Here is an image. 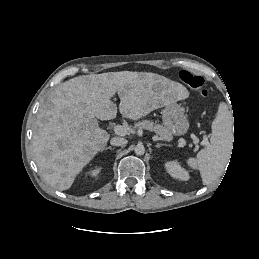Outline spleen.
<instances>
[{"instance_id":"obj_1","label":"spleen","mask_w":259,"mask_h":259,"mask_svg":"<svg viewBox=\"0 0 259 259\" xmlns=\"http://www.w3.org/2000/svg\"><path fill=\"white\" fill-rule=\"evenodd\" d=\"M210 144L200 150L196 158L187 159L192 169L200 171L202 182L209 185L224 172L230 159L233 145L232 114L225 103H220L217 115L212 122Z\"/></svg>"}]
</instances>
